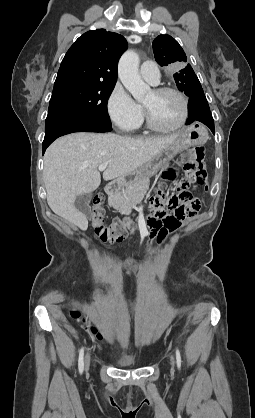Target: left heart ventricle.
<instances>
[{
	"mask_svg": "<svg viewBox=\"0 0 255 418\" xmlns=\"http://www.w3.org/2000/svg\"><path fill=\"white\" fill-rule=\"evenodd\" d=\"M143 105L147 107L155 123L162 127L174 126L183 114L182 101L173 93L156 94L152 91Z\"/></svg>",
	"mask_w": 255,
	"mask_h": 418,
	"instance_id": "1",
	"label": "left heart ventricle"
}]
</instances>
